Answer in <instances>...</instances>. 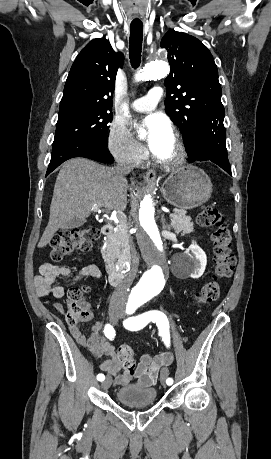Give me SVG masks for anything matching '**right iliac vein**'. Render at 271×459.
Wrapping results in <instances>:
<instances>
[{
    "instance_id": "1",
    "label": "right iliac vein",
    "mask_w": 271,
    "mask_h": 459,
    "mask_svg": "<svg viewBox=\"0 0 271 459\" xmlns=\"http://www.w3.org/2000/svg\"><path fill=\"white\" fill-rule=\"evenodd\" d=\"M123 314V309L121 308H116V309H111L110 310V316L114 322H117L120 316ZM112 383V379L110 376H107V378L101 383L100 387L103 390H106L110 387Z\"/></svg>"
}]
</instances>
